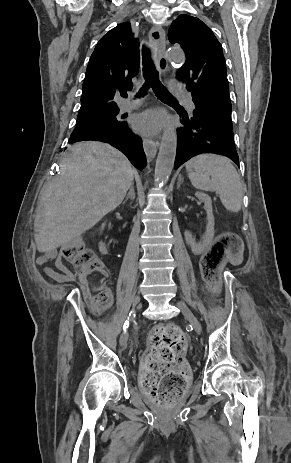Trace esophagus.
<instances>
[{
  "label": "esophagus",
  "instance_id": "34e87169",
  "mask_svg": "<svg viewBox=\"0 0 291 463\" xmlns=\"http://www.w3.org/2000/svg\"><path fill=\"white\" fill-rule=\"evenodd\" d=\"M151 45L156 49V62L160 72L166 70L168 61L165 57L166 37L164 30L159 26H153L149 32ZM159 146L158 140L144 138L143 147L148 160L154 159Z\"/></svg>",
  "mask_w": 291,
  "mask_h": 463
}]
</instances>
